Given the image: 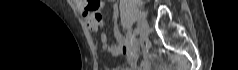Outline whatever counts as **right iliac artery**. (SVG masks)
Masks as SVG:
<instances>
[{
    "label": "right iliac artery",
    "mask_w": 238,
    "mask_h": 70,
    "mask_svg": "<svg viewBox=\"0 0 238 70\" xmlns=\"http://www.w3.org/2000/svg\"><path fill=\"white\" fill-rule=\"evenodd\" d=\"M138 33H139V29H138V28H135V29L133 30V35L136 36Z\"/></svg>",
    "instance_id": "obj_1"
}]
</instances>
